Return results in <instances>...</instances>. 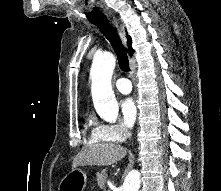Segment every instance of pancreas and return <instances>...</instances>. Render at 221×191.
Listing matches in <instances>:
<instances>
[{
    "label": "pancreas",
    "mask_w": 221,
    "mask_h": 191,
    "mask_svg": "<svg viewBox=\"0 0 221 191\" xmlns=\"http://www.w3.org/2000/svg\"><path fill=\"white\" fill-rule=\"evenodd\" d=\"M97 184L100 188H105V181L107 179V173L105 171L98 172L97 175Z\"/></svg>",
    "instance_id": "pancreas-1"
}]
</instances>
